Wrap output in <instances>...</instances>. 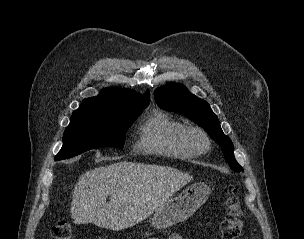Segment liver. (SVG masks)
Segmentation results:
<instances>
[{"instance_id":"obj_1","label":"liver","mask_w":304,"mask_h":239,"mask_svg":"<svg viewBox=\"0 0 304 239\" xmlns=\"http://www.w3.org/2000/svg\"><path fill=\"white\" fill-rule=\"evenodd\" d=\"M193 179L168 166L117 162L82 174L75 185L71 217L113 231L146 219ZM110 196V201L106 198Z\"/></svg>"}]
</instances>
